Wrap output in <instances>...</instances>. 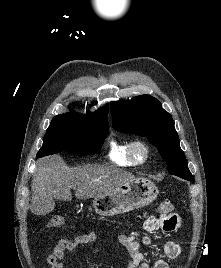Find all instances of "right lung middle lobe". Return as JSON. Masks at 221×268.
<instances>
[{
    "instance_id": "right-lung-middle-lobe-1",
    "label": "right lung middle lobe",
    "mask_w": 221,
    "mask_h": 268,
    "mask_svg": "<svg viewBox=\"0 0 221 268\" xmlns=\"http://www.w3.org/2000/svg\"><path fill=\"white\" fill-rule=\"evenodd\" d=\"M108 129L107 125L90 123L73 116L57 115L46 131L37 157L59 151L77 155L96 154L103 145Z\"/></svg>"
}]
</instances>
